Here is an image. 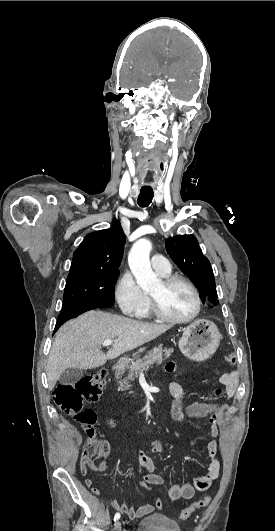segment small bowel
Returning <instances> with one entry per match:
<instances>
[{
	"label": "small bowel",
	"mask_w": 275,
	"mask_h": 531,
	"mask_svg": "<svg viewBox=\"0 0 275 531\" xmlns=\"http://www.w3.org/2000/svg\"><path fill=\"white\" fill-rule=\"evenodd\" d=\"M176 367L175 362H171L168 366L170 371H173ZM218 381L223 385V394L227 398H232L236 394L239 373L237 371H230L222 373ZM170 392L173 396V401L170 407V413L174 420L178 422H185L190 419H198L209 417L208 420V434L210 440L206 444L207 453V471L200 477L196 478L191 484L183 485H171L167 488V493L170 499H191L196 491H206L210 488L213 482L218 478L220 472V460L218 456V442L217 437L219 435L218 420L222 417L226 406L223 404L212 402H197L183 409V402L186 399L187 393L183 385L174 381L170 384ZM151 451L153 453H161L163 451V444L159 440H154L151 443ZM116 453L120 455V451ZM137 465L139 473L143 478H150L152 483L157 485L163 484L162 477L155 472V464L151 456L145 451H139L137 454ZM104 468V467H103ZM102 469H92L100 471ZM94 495L100 494V489L97 485L94 488H89ZM109 506L116 511L126 513L128 518L137 519L150 514L153 511L151 504H144L137 508H128L125 503H121L118 500H112Z\"/></svg>",
	"instance_id": "obj_1"
}]
</instances>
